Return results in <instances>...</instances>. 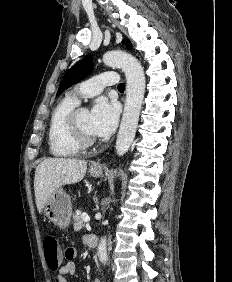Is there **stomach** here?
<instances>
[{
    "label": "stomach",
    "instance_id": "1",
    "mask_svg": "<svg viewBox=\"0 0 232 282\" xmlns=\"http://www.w3.org/2000/svg\"><path fill=\"white\" fill-rule=\"evenodd\" d=\"M89 173L93 177H100L103 170L90 168ZM72 204L69 195L61 188L57 189L44 205V215L60 228H66L71 219Z\"/></svg>",
    "mask_w": 232,
    "mask_h": 282
}]
</instances>
